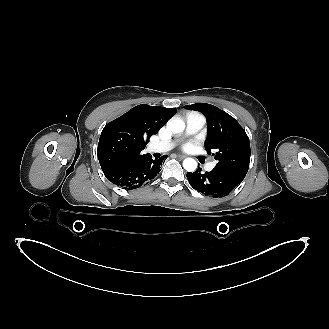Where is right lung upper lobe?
Wrapping results in <instances>:
<instances>
[{
	"mask_svg": "<svg viewBox=\"0 0 329 329\" xmlns=\"http://www.w3.org/2000/svg\"><path fill=\"white\" fill-rule=\"evenodd\" d=\"M175 112V108L141 104L108 123L100 135L97 149L102 171L123 167L146 156L142 150L150 137Z\"/></svg>",
	"mask_w": 329,
	"mask_h": 329,
	"instance_id": "right-lung-upper-lobe-1",
	"label": "right lung upper lobe"
}]
</instances>
